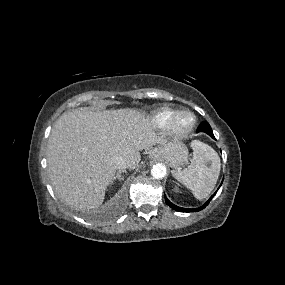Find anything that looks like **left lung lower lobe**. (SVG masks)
<instances>
[{
    "label": "left lung lower lobe",
    "instance_id": "1",
    "mask_svg": "<svg viewBox=\"0 0 285 285\" xmlns=\"http://www.w3.org/2000/svg\"><path fill=\"white\" fill-rule=\"evenodd\" d=\"M197 132H205L207 133L209 136H211L212 138H215L214 134H213V131H212V128L211 126L209 125L208 122H202L198 129H197ZM215 194H213L210 199L201 207H198V208H194V209H186V208H181V207H178L176 205H174L173 203H171L167 197H165V201L166 203L171 207L173 208L174 210L176 211H180V212H196V211H200L202 209H204L208 204L209 202L211 201V199L214 197Z\"/></svg>",
    "mask_w": 285,
    "mask_h": 285
}]
</instances>
